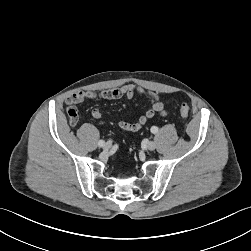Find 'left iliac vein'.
<instances>
[{
    "mask_svg": "<svg viewBox=\"0 0 251 251\" xmlns=\"http://www.w3.org/2000/svg\"><path fill=\"white\" fill-rule=\"evenodd\" d=\"M156 148V143L154 141H149L147 143V149L153 151Z\"/></svg>",
    "mask_w": 251,
    "mask_h": 251,
    "instance_id": "obj_1",
    "label": "left iliac vein"
}]
</instances>
